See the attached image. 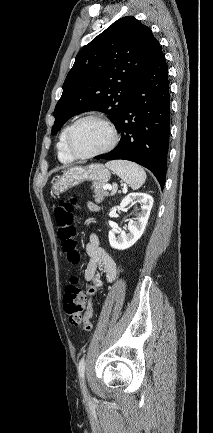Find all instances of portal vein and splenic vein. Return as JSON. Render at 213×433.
I'll use <instances>...</instances> for the list:
<instances>
[{"instance_id": "1", "label": "portal vein and splenic vein", "mask_w": 213, "mask_h": 433, "mask_svg": "<svg viewBox=\"0 0 213 433\" xmlns=\"http://www.w3.org/2000/svg\"><path fill=\"white\" fill-rule=\"evenodd\" d=\"M105 190H108V191H111L112 190V186L111 185H105L104 187H103ZM116 192V190H115V188H113V192H112V194H114Z\"/></svg>"}]
</instances>
